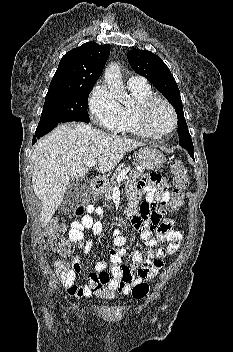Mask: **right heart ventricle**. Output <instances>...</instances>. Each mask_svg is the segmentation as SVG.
Masks as SVG:
<instances>
[{"instance_id":"1","label":"right heart ventricle","mask_w":233,"mask_h":352,"mask_svg":"<svg viewBox=\"0 0 233 352\" xmlns=\"http://www.w3.org/2000/svg\"><path fill=\"white\" fill-rule=\"evenodd\" d=\"M128 89L134 97V104L121 106V120L118 132L136 136H144L137 126L135 119V108L144 99L153 96L149 85H128Z\"/></svg>"}]
</instances>
